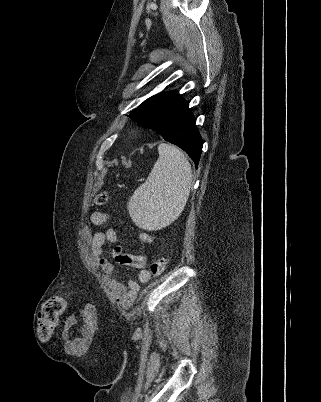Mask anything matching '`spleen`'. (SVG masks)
I'll return each mask as SVG.
<instances>
[{"label":"spleen","instance_id":"3e777b00","mask_svg":"<svg viewBox=\"0 0 321 402\" xmlns=\"http://www.w3.org/2000/svg\"><path fill=\"white\" fill-rule=\"evenodd\" d=\"M159 158L148 178L127 203L132 221L145 230H157L176 219L190 195L192 169L177 147L161 143Z\"/></svg>","mask_w":321,"mask_h":402}]
</instances>
